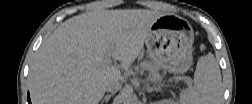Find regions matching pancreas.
<instances>
[{"mask_svg": "<svg viewBox=\"0 0 252 104\" xmlns=\"http://www.w3.org/2000/svg\"><path fill=\"white\" fill-rule=\"evenodd\" d=\"M142 69L150 72L151 78L154 81H161V76L159 75V66L151 62H143L141 65Z\"/></svg>", "mask_w": 252, "mask_h": 104, "instance_id": "obj_1", "label": "pancreas"}]
</instances>
